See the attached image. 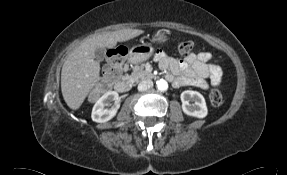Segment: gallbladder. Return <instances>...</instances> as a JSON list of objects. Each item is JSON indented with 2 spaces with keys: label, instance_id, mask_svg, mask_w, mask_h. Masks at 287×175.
<instances>
[{
  "label": "gallbladder",
  "instance_id": "gallbladder-1",
  "mask_svg": "<svg viewBox=\"0 0 287 175\" xmlns=\"http://www.w3.org/2000/svg\"><path fill=\"white\" fill-rule=\"evenodd\" d=\"M105 52H106L105 48H97L95 51V59L98 62L103 61L104 58L106 57Z\"/></svg>",
  "mask_w": 287,
  "mask_h": 175
}]
</instances>
